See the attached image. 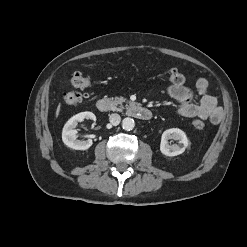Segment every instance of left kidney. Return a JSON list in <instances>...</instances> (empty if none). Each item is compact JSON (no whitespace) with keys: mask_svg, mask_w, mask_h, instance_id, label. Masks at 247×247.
I'll return each mask as SVG.
<instances>
[{"mask_svg":"<svg viewBox=\"0 0 247 247\" xmlns=\"http://www.w3.org/2000/svg\"><path fill=\"white\" fill-rule=\"evenodd\" d=\"M174 139L179 141V145H169L168 140ZM189 140L184 131L178 128L167 129L163 132L160 143V151L166 156H177L182 154L189 146Z\"/></svg>","mask_w":247,"mask_h":247,"instance_id":"obj_1","label":"left kidney"}]
</instances>
